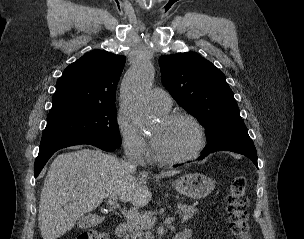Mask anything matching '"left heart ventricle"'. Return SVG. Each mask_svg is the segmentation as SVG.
<instances>
[{
  "label": "left heart ventricle",
  "instance_id": "1",
  "mask_svg": "<svg viewBox=\"0 0 304 239\" xmlns=\"http://www.w3.org/2000/svg\"><path fill=\"white\" fill-rule=\"evenodd\" d=\"M158 154L165 157H181L190 153L197 143V131L186 120L165 122L163 119L152 131Z\"/></svg>",
  "mask_w": 304,
  "mask_h": 239
}]
</instances>
